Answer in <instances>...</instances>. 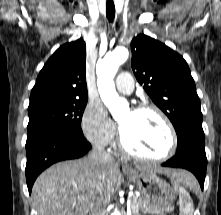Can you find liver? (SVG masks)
I'll return each instance as SVG.
<instances>
[{"label":"liver","mask_w":221,"mask_h":215,"mask_svg":"<svg viewBox=\"0 0 221 215\" xmlns=\"http://www.w3.org/2000/svg\"><path fill=\"white\" fill-rule=\"evenodd\" d=\"M135 167L138 171L171 176L179 182L190 177L180 170ZM119 168L115 161L98 166L89 157L52 165L36 179L32 188L38 215H87L96 198L103 197L108 203L121 185Z\"/></svg>","instance_id":"6515ba94"}]
</instances>
